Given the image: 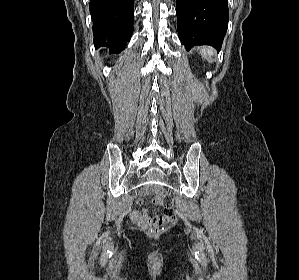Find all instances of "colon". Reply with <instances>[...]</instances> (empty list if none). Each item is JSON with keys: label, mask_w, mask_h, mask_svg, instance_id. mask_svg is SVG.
I'll return each instance as SVG.
<instances>
[{"label": "colon", "mask_w": 299, "mask_h": 280, "mask_svg": "<svg viewBox=\"0 0 299 280\" xmlns=\"http://www.w3.org/2000/svg\"><path fill=\"white\" fill-rule=\"evenodd\" d=\"M154 202L163 206L162 214L151 218L147 225L149 232L156 235L164 226L172 224L176 221V213L173 207L172 199L165 192H159L155 196Z\"/></svg>", "instance_id": "5ec220e1"}]
</instances>
